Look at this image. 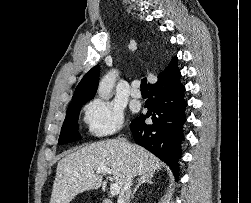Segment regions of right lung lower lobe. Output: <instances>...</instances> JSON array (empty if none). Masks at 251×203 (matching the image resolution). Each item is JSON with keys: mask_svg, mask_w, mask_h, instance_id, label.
I'll return each instance as SVG.
<instances>
[{"mask_svg": "<svg viewBox=\"0 0 251 203\" xmlns=\"http://www.w3.org/2000/svg\"><path fill=\"white\" fill-rule=\"evenodd\" d=\"M180 71L174 65L158 82L148 86L146 114L132 120L130 129L135 142L164 161L179 177L178 160L184 139L186 122L185 87L180 82ZM151 117L152 123L145 120Z\"/></svg>", "mask_w": 251, "mask_h": 203, "instance_id": "right-lung-lower-lobe-1", "label": "right lung lower lobe"}]
</instances>
